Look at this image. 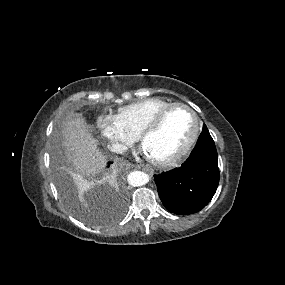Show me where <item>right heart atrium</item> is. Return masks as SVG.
<instances>
[{"mask_svg":"<svg viewBox=\"0 0 285 285\" xmlns=\"http://www.w3.org/2000/svg\"><path fill=\"white\" fill-rule=\"evenodd\" d=\"M96 125L101 136L119 151L127 149L138 136L125 126L118 115H102Z\"/></svg>","mask_w":285,"mask_h":285,"instance_id":"d8ad5b80","label":"right heart atrium"}]
</instances>
